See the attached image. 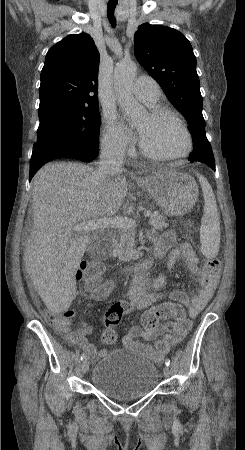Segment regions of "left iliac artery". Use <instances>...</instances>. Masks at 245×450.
Masks as SVG:
<instances>
[{
  "instance_id": "44dca946",
  "label": "left iliac artery",
  "mask_w": 245,
  "mask_h": 450,
  "mask_svg": "<svg viewBox=\"0 0 245 450\" xmlns=\"http://www.w3.org/2000/svg\"><path fill=\"white\" fill-rule=\"evenodd\" d=\"M165 364H166V366H170V365H171L170 360H169V359H166V360H165Z\"/></svg>"
}]
</instances>
